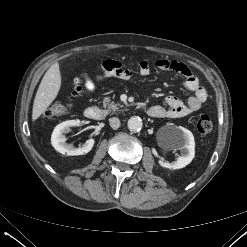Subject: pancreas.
Listing matches in <instances>:
<instances>
[{
    "mask_svg": "<svg viewBox=\"0 0 247 247\" xmlns=\"http://www.w3.org/2000/svg\"><path fill=\"white\" fill-rule=\"evenodd\" d=\"M103 106H104V108L107 109V112L116 111L119 109V107H123V105H121L119 103L111 102L109 97L104 98Z\"/></svg>",
    "mask_w": 247,
    "mask_h": 247,
    "instance_id": "cf45deb5",
    "label": "pancreas"
}]
</instances>
